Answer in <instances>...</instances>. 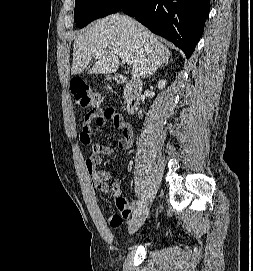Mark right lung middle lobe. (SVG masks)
Listing matches in <instances>:
<instances>
[{"mask_svg":"<svg viewBox=\"0 0 253 271\" xmlns=\"http://www.w3.org/2000/svg\"><path fill=\"white\" fill-rule=\"evenodd\" d=\"M127 0H75L74 19L83 28L95 19L121 10Z\"/></svg>","mask_w":253,"mask_h":271,"instance_id":"1","label":"right lung middle lobe"}]
</instances>
